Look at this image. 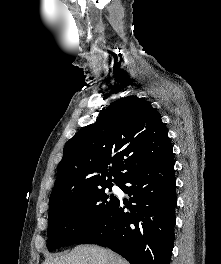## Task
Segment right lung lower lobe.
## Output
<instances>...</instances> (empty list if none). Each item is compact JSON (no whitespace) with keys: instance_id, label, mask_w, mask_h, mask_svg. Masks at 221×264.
<instances>
[{"instance_id":"98d812e1","label":"right lung lower lobe","mask_w":221,"mask_h":264,"mask_svg":"<svg viewBox=\"0 0 221 264\" xmlns=\"http://www.w3.org/2000/svg\"><path fill=\"white\" fill-rule=\"evenodd\" d=\"M175 187L173 154L131 174L120 185L132 196L130 202L118 199L80 243L108 247L131 264H170L176 223Z\"/></svg>"}]
</instances>
